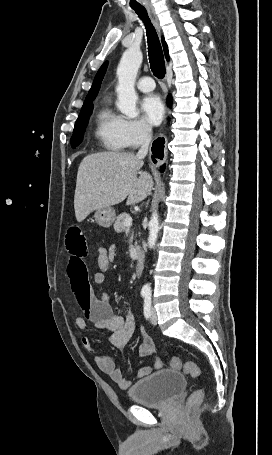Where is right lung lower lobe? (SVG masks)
Returning <instances> with one entry per match:
<instances>
[{"label":"right lung lower lobe","mask_w":272,"mask_h":455,"mask_svg":"<svg viewBox=\"0 0 272 455\" xmlns=\"http://www.w3.org/2000/svg\"><path fill=\"white\" fill-rule=\"evenodd\" d=\"M167 102H168V105H171V97H170V96L168 97ZM161 170L163 171V170H164V167H162Z\"/></svg>","instance_id":"1"}]
</instances>
